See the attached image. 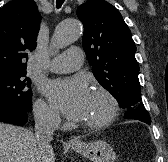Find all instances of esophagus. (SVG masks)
<instances>
[{
    "label": "esophagus",
    "mask_w": 168,
    "mask_h": 162,
    "mask_svg": "<svg viewBox=\"0 0 168 162\" xmlns=\"http://www.w3.org/2000/svg\"><path fill=\"white\" fill-rule=\"evenodd\" d=\"M80 141H79V139H77V138H71L70 140H69V143L70 144H76V143H79Z\"/></svg>",
    "instance_id": "1"
}]
</instances>
